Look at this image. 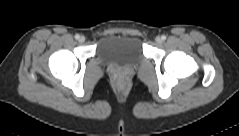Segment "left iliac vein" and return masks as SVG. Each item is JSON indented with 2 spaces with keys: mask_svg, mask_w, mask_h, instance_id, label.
Here are the masks:
<instances>
[{
  "mask_svg": "<svg viewBox=\"0 0 239 136\" xmlns=\"http://www.w3.org/2000/svg\"><path fill=\"white\" fill-rule=\"evenodd\" d=\"M155 42H156L157 44H161V43H162V38L159 37V36H157V37L155 38Z\"/></svg>",
  "mask_w": 239,
  "mask_h": 136,
  "instance_id": "1",
  "label": "left iliac vein"
}]
</instances>
